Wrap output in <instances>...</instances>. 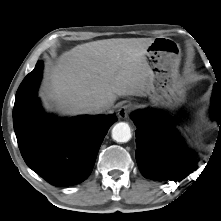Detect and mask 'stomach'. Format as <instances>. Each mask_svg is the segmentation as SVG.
<instances>
[{"label": "stomach", "instance_id": "0dacf381", "mask_svg": "<svg viewBox=\"0 0 221 221\" xmlns=\"http://www.w3.org/2000/svg\"><path fill=\"white\" fill-rule=\"evenodd\" d=\"M145 58L151 69L146 91L150 101L165 109L177 108L185 98L183 82L179 75V44L171 38H155L147 47Z\"/></svg>", "mask_w": 221, "mask_h": 221}]
</instances>
